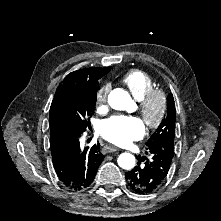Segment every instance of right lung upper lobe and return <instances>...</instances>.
<instances>
[{
	"instance_id": "cb5924a9",
	"label": "right lung upper lobe",
	"mask_w": 221,
	"mask_h": 221,
	"mask_svg": "<svg viewBox=\"0 0 221 221\" xmlns=\"http://www.w3.org/2000/svg\"><path fill=\"white\" fill-rule=\"evenodd\" d=\"M110 71V67L100 68V67H90L83 68L68 74L62 83L57 88L58 92L60 89L68 86H86L91 90L98 89V80ZM56 95V93H55ZM50 130L58 127L61 122L59 109L56 103V97H54L51 107H50Z\"/></svg>"
}]
</instances>
